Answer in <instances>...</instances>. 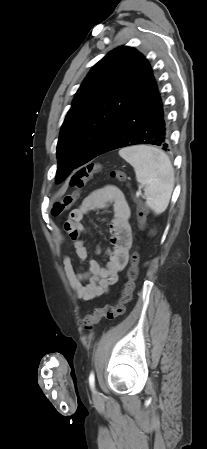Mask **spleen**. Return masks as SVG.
<instances>
[{
    "instance_id": "spleen-1",
    "label": "spleen",
    "mask_w": 207,
    "mask_h": 449,
    "mask_svg": "<svg viewBox=\"0 0 207 449\" xmlns=\"http://www.w3.org/2000/svg\"><path fill=\"white\" fill-rule=\"evenodd\" d=\"M119 155L134 168L136 180L144 188L146 205L155 214L164 212L174 187V170L169 157L148 145L123 148Z\"/></svg>"
}]
</instances>
